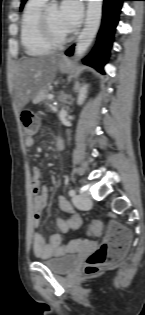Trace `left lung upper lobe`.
Segmentation results:
<instances>
[{
	"label": "left lung upper lobe",
	"mask_w": 145,
	"mask_h": 315,
	"mask_svg": "<svg viewBox=\"0 0 145 315\" xmlns=\"http://www.w3.org/2000/svg\"><path fill=\"white\" fill-rule=\"evenodd\" d=\"M27 0H21V6H20V10H22L23 9V7H24V4H25V2H26Z\"/></svg>",
	"instance_id": "5c2ea615"
}]
</instances>
